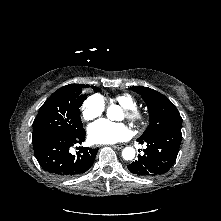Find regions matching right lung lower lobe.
Here are the masks:
<instances>
[{
  "label": "right lung lower lobe",
  "mask_w": 221,
  "mask_h": 221,
  "mask_svg": "<svg viewBox=\"0 0 221 221\" xmlns=\"http://www.w3.org/2000/svg\"><path fill=\"white\" fill-rule=\"evenodd\" d=\"M85 130L74 136L53 135L33 143L35 156L47 172L71 178L86 172L93 164L97 149L82 147L73 155L70 148L85 141Z\"/></svg>",
  "instance_id": "1"
}]
</instances>
